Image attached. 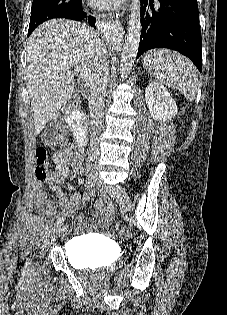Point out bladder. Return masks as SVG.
Wrapping results in <instances>:
<instances>
[{
  "label": "bladder",
  "mask_w": 227,
  "mask_h": 315,
  "mask_svg": "<svg viewBox=\"0 0 227 315\" xmlns=\"http://www.w3.org/2000/svg\"><path fill=\"white\" fill-rule=\"evenodd\" d=\"M70 245L75 249L72 264L77 268L109 266L115 259V250L110 244L92 237L73 239Z\"/></svg>",
  "instance_id": "1"
}]
</instances>
